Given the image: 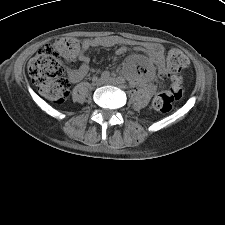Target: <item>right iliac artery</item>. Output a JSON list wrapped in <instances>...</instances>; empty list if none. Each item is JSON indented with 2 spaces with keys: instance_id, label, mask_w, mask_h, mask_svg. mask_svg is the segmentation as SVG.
Listing matches in <instances>:
<instances>
[{
  "instance_id": "82829eb1",
  "label": "right iliac artery",
  "mask_w": 225,
  "mask_h": 225,
  "mask_svg": "<svg viewBox=\"0 0 225 225\" xmlns=\"http://www.w3.org/2000/svg\"><path fill=\"white\" fill-rule=\"evenodd\" d=\"M109 77H110V72H109V71H104V72H102L101 78L107 79V78H109Z\"/></svg>"
}]
</instances>
